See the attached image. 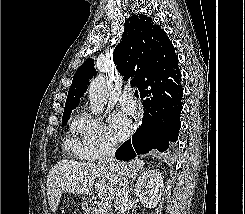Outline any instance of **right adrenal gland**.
<instances>
[{"label":"right adrenal gland","mask_w":245,"mask_h":214,"mask_svg":"<svg viewBox=\"0 0 245 214\" xmlns=\"http://www.w3.org/2000/svg\"><path fill=\"white\" fill-rule=\"evenodd\" d=\"M139 173H140V172H139ZM135 179H136V176H134L133 179H132L130 191H132V189H133V184H134Z\"/></svg>","instance_id":"1"}]
</instances>
